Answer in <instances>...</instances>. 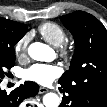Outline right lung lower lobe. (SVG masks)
Listing matches in <instances>:
<instances>
[{"mask_svg":"<svg viewBox=\"0 0 107 107\" xmlns=\"http://www.w3.org/2000/svg\"><path fill=\"white\" fill-rule=\"evenodd\" d=\"M38 90L35 82H25L9 94L0 89V107H18L22 100L35 96Z\"/></svg>","mask_w":107,"mask_h":107,"instance_id":"98d812e1","label":"right lung lower lobe"}]
</instances>
